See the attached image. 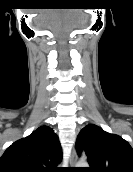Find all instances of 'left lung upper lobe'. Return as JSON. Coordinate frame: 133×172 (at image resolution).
Masks as SVG:
<instances>
[{
	"instance_id": "obj_1",
	"label": "left lung upper lobe",
	"mask_w": 133,
	"mask_h": 172,
	"mask_svg": "<svg viewBox=\"0 0 133 172\" xmlns=\"http://www.w3.org/2000/svg\"><path fill=\"white\" fill-rule=\"evenodd\" d=\"M77 153L82 149L90 167L87 172H133V149L122 137L89 124L78 134Z\"/></svg>"
}]
</instances>
